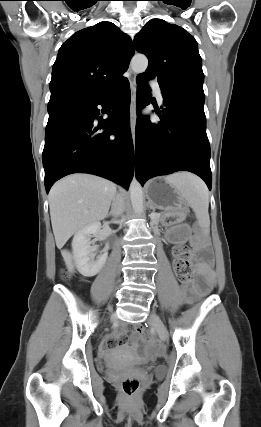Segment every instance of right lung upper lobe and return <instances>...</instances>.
I'll return each instance as SVG.
<instances>
[{
	"label": "right lung upper lobe",
	"instance_id": "1",
	"mask_svg": "<svg viewBox=\"0 0 261 427\" xmlns=\"http://www.w3.org/2000/svg\"><path fill=\"white\" fill-rule=\"evenodd\" d=\"M135 52L130 38L102 21L74 33L59 49L48 111L91 102L118 87Z\"/></svg>",
	"mask_w": 261,
	"mask_h": 427
}]
</instances>
